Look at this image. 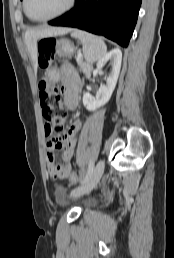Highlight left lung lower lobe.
<instances>
[{
  "label": "left lung lower lobe",
  "mask_w": 174,
  "mask_h": 258,
  "mask_svg": "<svg viewBox=\"0 0 174 258\" xmlns=\"http://www.w3.org/2000/svg\"><path fill=\"white\" fill-rule=\"evenodd\" d=\"M141 1L76 0L72 10L48 23L86 30L127 47L137 22Z\"/></svg>",
  "instance_id": "0a47b994"
}]
</instances>
